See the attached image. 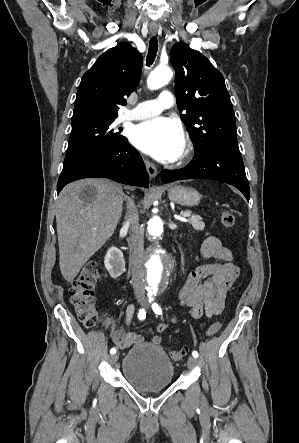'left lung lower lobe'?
<instances>
[{
    "mask_svg": "<svg viewBox=\"0 0 299 443\" xmlns=\"http://www.w3.org/2000/svg\"><path fill=\"white\" fill-rule=\"evenodd\" d=\"M163 183L180 179H212L238 188L249 201L250 190L239 151L214 146L195 153L192 161L182 169L162 170Z\"/></svg>",
    "mask_w": 299,
    "mask_h": 443,
    "instance_id": "0a47b994",
    "label": "left lung lower lobe"
}]
</instances>
